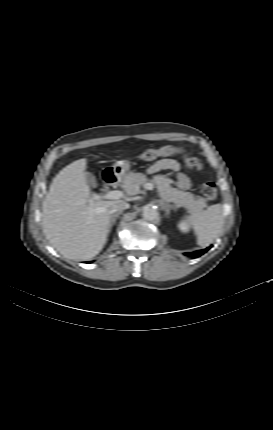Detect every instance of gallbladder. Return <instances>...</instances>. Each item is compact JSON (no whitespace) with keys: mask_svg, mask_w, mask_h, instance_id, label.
Instances as JSON below:
<instances>
[{"mask_svg":"<svg viewBox=\"0 0 273 430\" xmlns=\"http://www.w3.org/2000/svg\"><path fill=\"white\" fill-rule=\"evenodd\" d=\"M86 181L88 185L93 186L95 184V177L93 174L86 172Z\"/></svg>","mask_w":273,"mask_h":430,"instance_id":"obj_1","label":"gallbladder"}]
</instances>
